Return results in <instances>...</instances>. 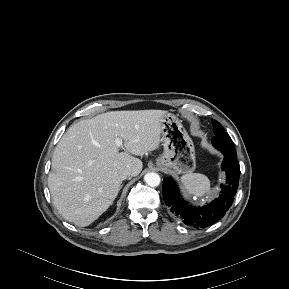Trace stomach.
<instances>
[{
    "label": "stomach",
    "mask_w": 289,
    "mask_h": 289,
    "mask_svg": "<svg viewBox=\"0 0 289 289\" xmlns=\"http://www.w3.org/2000/svg\"><path fill=\"white\" fill-rule=\"evenodd\" d=\"M163 153L156 160L157 167L171 169L176 174L195 170L194 144L178 116L166 112L161 122Z\"/></svg>",
    "instance_id": "obj_1"
}]
</instances>
